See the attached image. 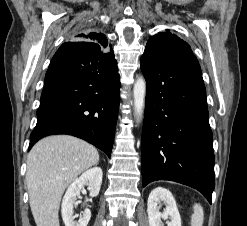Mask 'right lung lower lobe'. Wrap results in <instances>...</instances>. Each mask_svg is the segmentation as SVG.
I'll list each match as a JSON object with an SVG mask.
<instances>
[{
  "mask_svg": "<svg viewBox=\"0 0 247 226\" xmlns=\"http://www.w3.org/2000/svg\"><path fill=\"white\" fill-rule=\"evenodd\" d=\"M119 103L120 76L114 53L84 41L62 44L45 75L29 150L43 137L69 134L110 157Z\"/></svg>",
  "mask_w": 247,
  "mask_h": 226,
  "instance_id": "right-lung-lower-lobe-1",
  "label": "right lung lower lobe"
}]
</instances>
